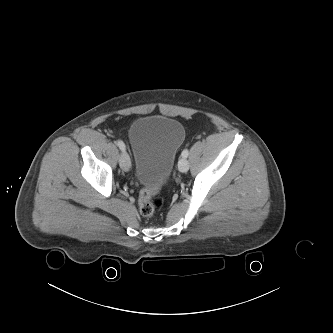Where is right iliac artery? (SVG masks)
<instances>
[{
    "label": "right iliac artery",
    "instance_id": "obj_1",
    "mask_svg": "<svg viewBox=\"0 0 333 333\" xmlns=\"http://www.w3.org/2000/svg\"><path fill=\"white\" fill-rule=\"evenodd\" d=\"M116 144L122 151H125L126 149L125 144L121 140H117Z\"/></svg>",
    "mask_w": 333,
    "mask_h": 333
}]
</instances>
